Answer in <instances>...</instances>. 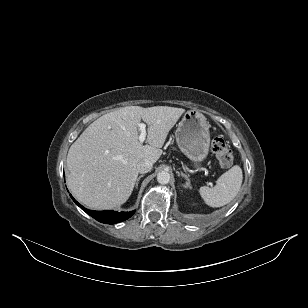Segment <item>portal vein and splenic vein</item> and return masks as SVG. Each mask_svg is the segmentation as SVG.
<instances>
[{
	"label": "portal vein and splenic vein",
	"mask_w": 308,
	"mask_h": 308,
	"mask_svg": "<svg viewBox=\"0 0 308 308\" xmlns=\"http://www.w3.org/2000/svg\"><path fill=\"white\" fill-rule=\"evenodd\" d=\"M140 135H139V142L143 143L146 139L147 132H146V124L144 123H139L138 124Z\"/></svg>",
	"instance_id": "portal-vein-and-splenic-vein-1"
}]
</instances>
